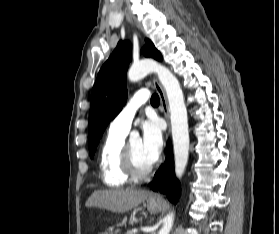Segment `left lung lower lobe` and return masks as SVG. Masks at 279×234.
I'll return each mask as SVG.
<instances>
[{"label":"left lung lower lobe","mask_w":279,"mask_h":234,"mask_svg":"<svg viewBox=\"0 0 279 234\" xmlns=\"http://www.w3.org/2000/svg\"><path fill=\"white\" fill-rule=\"evenodd\" d=\"M150 185L154 191L159 190L160 192L166 194L167 198L171 202H177L179 197V183L174 175L173 156L170 142H168L165 163L156 172L154 182Z\"/></svg>","instance_id":"0a47b994"}]
</instances>
